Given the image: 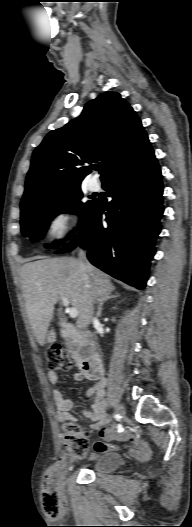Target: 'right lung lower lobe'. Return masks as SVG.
<instances>
[{
  "instance_id": "98d812e1",
  "label": "right lung lower lobe",
  "mask_w": 192,
  "mask_h": 527,
  "mask_svg": "<svg viewBox=\"0 0 192 527\" xmlns=\"http://www.w3.org/2000/svg\"><path fill=\"white\" fill-rule=\"evenodd\" d=\"M102 183L113 198L106 208V224H102L105 207L96 201L78 236L57 253L69 252L79 243L93 265L143 289L163 214L162 175L149 140Z\"/></svg>"
}]
</instances>
